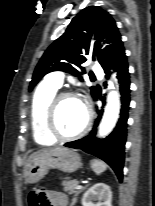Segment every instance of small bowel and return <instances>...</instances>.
Segmentation results:
<instances>
[{"mask_svg": "<svg viewBox=\"0 0 155 206\" xmlns=\"http://www.w3.org/2000/svg\"><path fill=\"white\" fill-rule=\"evenodd\" d=\"M34 192V191H33ZM45 195V201H42L39 206H66L67 196L58 191H41Z\"/></svg>", "mask_w": 155, "mask_h": 206, "instance_id": "1", "label": "small bowel"}]
</instances>
